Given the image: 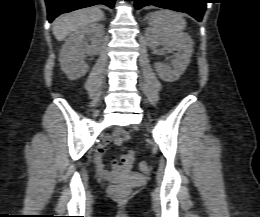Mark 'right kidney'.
Returning a JSON list of instances; mask_svg holds the SVG:
<instances>
[{
	"label": "right kidney",
	"instance_id": "1",
	"mask_svg": "<svg viewBox=\"0 0 260 217\" xmlns=\"http://www.w3.org/2000/svg\"><path fill=\"white\" fill-rule=\"evenodd\" d=\"M103 35L104 25L90 23L77 29L66 39L60 52V65L70 80L78 79L86 74L89 67L84 61V54L91 56L98 54Z\"/></svg>",
	"mask_w": 260,
	"mask_h": 217
}]
</instances>
